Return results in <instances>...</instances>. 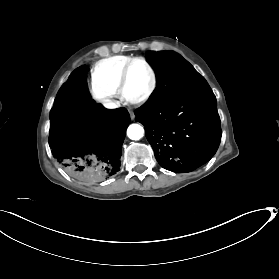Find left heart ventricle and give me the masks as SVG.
<instances>
[{
    "instance_id": "1",
    "label": "left heart ventricle",
    "mask_w": 279,
    "mask_h": 279,
    "mask_svg": "<svg viewBox=\"0 0 279 279\" xmlns=\"http://www.w3.org/2000/svg\"><path fill=\"white\" fill-rule=\"evenodd\" d=\"M151 85V75L144 64L136 62L132 65L128 78L126 92L131 98L144 95Z\"/></svg>"
}]
</instances>
